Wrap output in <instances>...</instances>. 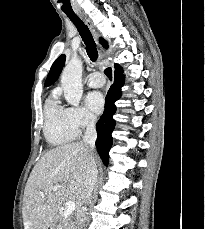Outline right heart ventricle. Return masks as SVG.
<instances>
[{"mask_svg": "<svg viewBox=\"0 0 205 229\" xmlns=\"http://www.w3.org/2000/svg\"><path fill=\"white\" fill-rule=\"evenodd\" d=\"M44 134L54 146L68 144L78 136L68 119L66 108L60 105L56 95H51L44 106Z\"/></svg>", "mask_w": 205, "mask_h": 229, "instance_id": "obj_1", "label": "right heart ventricle"}]
</instances>
